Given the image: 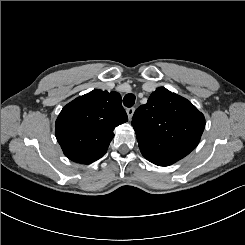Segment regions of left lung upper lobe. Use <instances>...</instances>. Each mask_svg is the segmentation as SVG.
<instances>
[{"label": "left lung upper lobe", "mask_w": 245, "mask_h": 245, "mask_svg": "<svg viewBox=\"0 0 245 245\" xmlns=\"http://www.w3.org/2000/svg\"><path fill=\"white\" fill-rule=\"evenodd\" d=\"M142 155L180 160L198 145L205 118L187 99L159 87L134 113L131 122Z\"/></svg>", "instance_id": "1"}]
</instances>
